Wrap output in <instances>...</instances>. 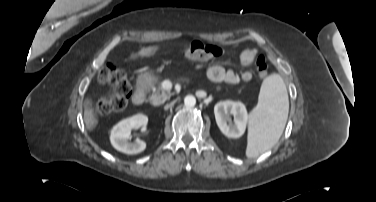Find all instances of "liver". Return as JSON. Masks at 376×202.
Listing matches in <instances>:
<instances>
[{
  "label": "liver",
  "mask_w": 376,
  "mask_h": 202,
  "mask_svg": "<svg viewBox=\"0 0 376 202\" xmlns=\"http://www.w3.org/2000/svg\"><path fill=\"white\" fill-rule=\"evenodd\" d=\"M157 50L158 47L156 46L142 48L137 53L131 54L130 59H136L138 57H149L152 54H154ZM84 122L88 130L93 129L98 123L97 118H95V116L93 115V111L89 107V100H85L84 102Z\"/></svg>",
  "instance_id": "6515ba94"
}]
</instances>
